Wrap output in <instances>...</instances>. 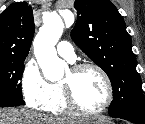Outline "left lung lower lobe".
<instances>
[{
	"instance_id": "obj_1",
	"label": "left lung lower lobe",
	"mask_w": 145,
	"mask_h": 124,
	"mask_svg": "<svg viewBox=\"0 0 145 124\" xmlns=\"http://www.w3.org/2000/svg\"><path fill=\"white\" fill-rule=\"evenodd\" d=\"M111 117L121 118L133 122L135 124H145V116L134 113H115L109 114Z\"/></svg>"
}]
</instances>
